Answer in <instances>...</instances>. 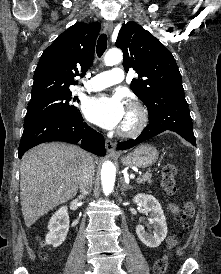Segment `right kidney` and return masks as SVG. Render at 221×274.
I'll list each match as a JSON object with an SVG mask.
<instances>
[{"label":"right kidney","instance_id":"1","mask_svg":"<svg viewBox=\"0 0 221 274\" xmlns=\"http://www.w3.org/2000/svg\"><path fill=\"white\" fill-rule=\"evenodd\" d=\"M49 233L46 235V243L54 248L59 247L66 239L69 231V215L67 207H61L51 217L48 224Z\"/></svg>","mask_w":221,"mask_h":274}]
</instances>
